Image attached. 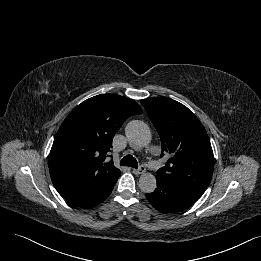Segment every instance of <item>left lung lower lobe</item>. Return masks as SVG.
I'll list each match as a JSON object with an SVG mask.
<instances>
[{
    "label": "left lung lower lobe",
    "mask_w": 261,
    "mask_h": 261,
    "mask_svg": "<svg viewBox=\"0 0 261 261\" xmlns=\"http://www.w3.org/2000/svg\"><path fill=\"white\" fill-rule=\"evenodd\" d=\"M157 180V188L154 192L146 194V198L152 206L163 213L180 212L194 204L203 191L182 184L169 183Z\"/></svg>",
    "instance_id": "1"
}]
</instances>
